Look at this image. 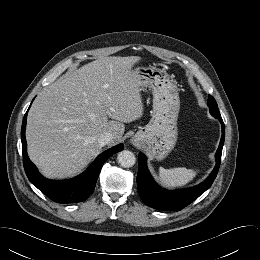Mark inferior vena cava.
I'll use <instances>...</instances> for the list:
<instances>
[{"label": "inferior vena cava", "instance_id": "obj_1", "mask_svg": "<svg viewBox=\"0 0 260 260\" xmlns=\"http://www.w3.org/2000/svg\"><path fill=\"white\" fill-rule=\"evenodd\" d=\"M113 140V135L111 133H103L98 139V142L101 146L109 144Z\"/></svg>", "mask_w": 260, "mask_h": 260}]
</instances>
